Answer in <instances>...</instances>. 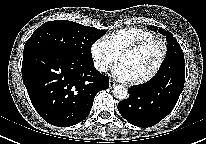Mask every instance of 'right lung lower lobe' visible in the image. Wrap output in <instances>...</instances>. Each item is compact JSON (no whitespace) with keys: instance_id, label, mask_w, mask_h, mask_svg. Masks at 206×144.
Instances as JSON below:
<instances>
[{"instance_id":"obj_1","label":"right lung lower lobe","mask_w":206,"mask_h":144,"mask_svg":"<svg viewBox=\"0 0 206 144\" xmlns=\"http://www.w3.org/2000/svg\"><path fill=\"white\" fill-rule=\"evenodd\" d=\"M22 78L36 111L58 127L82 121L96 94L109 87V79L93 67V60L47 50L23 54Z\"/></svg>"}]
</instances>
